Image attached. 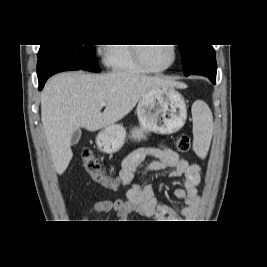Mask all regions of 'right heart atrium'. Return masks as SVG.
<instances>
[{
	"label": "right heart atrium",
	"instance_id": "d8ad5b80",
	"mask_svg": "<svg viewBox=\"0 0 267 267\" xmlns=\"http://www.w3.org/2000/svg\"><path fill=\"white\" fill-rule=\"evenodd\" d=\"M97 53L104 59L106 63H108L109 50L106 47L100 46L97 50Z\"/></svg>",
	"mask_w": 267,
	"mask_h": 267
}]
</instances>
